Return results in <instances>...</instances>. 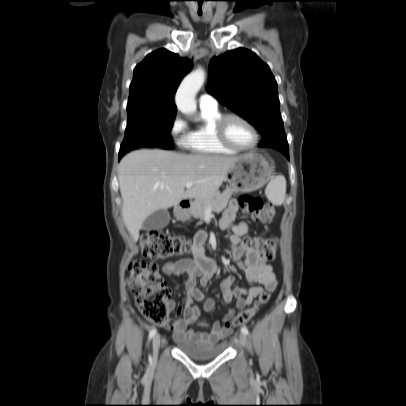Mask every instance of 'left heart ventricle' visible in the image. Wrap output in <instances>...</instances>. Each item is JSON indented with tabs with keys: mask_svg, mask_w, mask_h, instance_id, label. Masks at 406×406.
I'll use <instances>...</instances> for the list:
<instances>
[{
	"mask_svg": "<svg viewBox=\"0 0 406 406\" xmlns=\"http://www.w3.org/2000/svg\"><path fill=\"white\" fill-rule=\"evenodd\" d=\"M226 133L229 140L238 147H249L254 142L251 129L237 119H230L227 122Z\"/></svg>",
	"mask_w": 406,
	"mask_h": 406,
	"instance_id": "left-heart-ventricle-1",
	"label": "left heart ventricle"
}]
</instances>
